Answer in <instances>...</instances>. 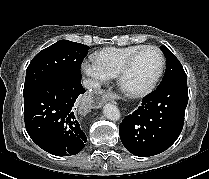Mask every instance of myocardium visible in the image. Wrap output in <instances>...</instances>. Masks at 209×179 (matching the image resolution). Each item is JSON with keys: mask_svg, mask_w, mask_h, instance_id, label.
Instances as JSON below:
<instances>
[{"mask_svg": "<svg viewBox=\"0 0 209 179\" xmlns=\"http://www.w3.org/2000/svg\"><path fill=\"white\" fill-rule=\"evenodd\" d=\"M148 49H154L156 50L159 55H160V59H161V64H160V68L159 71L157 73V75L155 76V78L152 80V82L147 85L146 87L139 89V90H135V91H130L127 90L124 87V79L127 75V73L129 72V70L131 69V67L133 66V64L135 63L136 59L146 50ZM165 67H166V58L165 55L163 53V51L161 50V48H159L158 46L155 45H145L144 47H142L141 49H139L138 51H136L135 53H133L126 61L125 63L122 65V67L120 68L117 76H116V80H117V84L118 87L120 88V90L126 94L129 97L132 98H139V97H144L148 94H150L158 85L160 79L163 76V73L165 71Z\"/></svg>", "mask_w": 209, "mask_h": 179, "instance_id": "myocardium-1", "label": "myocardium"}]
</instances>
